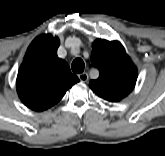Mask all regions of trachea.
<instances>
[{
	"label": "trachea",
	"mask_w": 165,
	"mask_h": 156,
	"mask_svg": "<svg viewBox=\"0 0 165 156\" xmlns=\"http://www.w3.org/2000/svg\"><path fill=\"white\" fill-rule=\"evenodd\" d=\"M84 61L81 58H76L71 65L72 71L74 73H82L84 71Z\"/></svg>",
	"instance_id": "3493384b"
}]
</instances>
